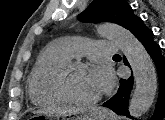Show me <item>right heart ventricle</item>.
<instances>
[{"label": "right heart ventricle", "mask_w": 165, "mask_h": 120, "mask_svg": "<svg viewBox=\"0 0 165 120\" xmlns=\"http://www.w3.org/2000/svg\"><path fill=\"white\" fill-rule=\"evenodd\" d=\"M69 59L55 47L41 54L28 79V92L34 104L47 106L65 102L56 89V78Z\"/></svg>", "instance_id": "e07e8e85"}]
</instances>
